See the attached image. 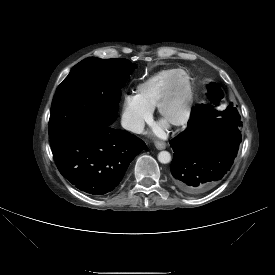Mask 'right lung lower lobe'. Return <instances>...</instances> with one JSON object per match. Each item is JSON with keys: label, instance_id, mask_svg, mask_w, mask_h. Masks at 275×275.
Wrapping results in <instances>:
<instances>
[{"label": "right lung lower lobe", "instance_id": "98d812e1", "mask_svg": "<svg viewBox=\"0 0 275 275\" xmlns=\"http://www.w3.org/2000/svg\"><path fill=\"white\" fill-rule=\"evenodd\" d=\"M124 84L116 87L120 95ZM50 140L60 173L76 188L91 195L114 190L130 162L146 147L138 137L112 126L62 132Z\"/></svg>", "mask_w": 275, "mask_h": 275}]
</instances>
